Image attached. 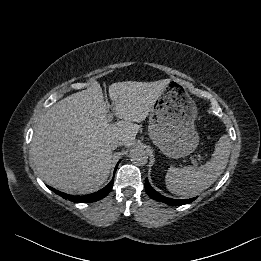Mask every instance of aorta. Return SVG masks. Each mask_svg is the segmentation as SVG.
Wrapping results in <instances>:
<instances>
[{
  "label": "aorta",
  "instance_id": "762f6f07",
  "mask_svg": "<svg viewBox=\"0 0 261 261\" xmlns=\"http://www.w3.org/2000/svg\"><path fill=\"white\" fill-rule=\"evenodd\" d=\"M130 160L136 166H143L148 162V154L142 148H135L130 152Z\"/></svg>",
  "mask_w": 261,
  "mask_h": 261
}]
</instances>
